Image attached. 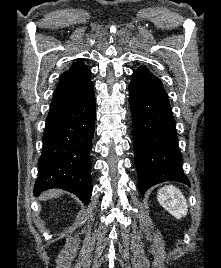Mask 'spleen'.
Listing matches in <instances>:
<instances>
[{"mask_svg":"<svg viewBox=\"0 0 221 268\" xmlns=\"http://www.w3.org/2000/svg\"><path fill=\"white\" fill-rule=\"evenodd\" d=\"M157 199L161 206L177 219L187 214V202L182 192L173 185L159 190Z\"/></svg>","mask_w":221,"mask_h":268,"instance_id":"1","label":"spleen"}]
</instances>
